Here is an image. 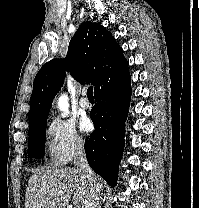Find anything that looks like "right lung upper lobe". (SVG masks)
I'll return each mask as SVG.
<instances>
[{"label": "right lung upper lobe", "mask_w": 199, "mask_h": 208, "mask_svg": "<svg viewBox=\"0 0 199 208\" xmlns=\"http://www.w3.org/2000/svg\"><path fill=\"white\" fill-rule=\"evenodd\" d=\"M65 69L79 82L94 85V93L129 74L128 61L110 32L98 23L83 22L72 37L64 60L53 59L37 73L30 99L29 131L47 122Z\"/></svg>", "instance_id": "cb5924a9"}]
</instances>
